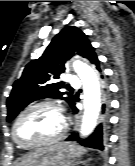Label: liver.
Wrapping results in <instances>:
<instances>
[{
	"label": "liver",
	"mask_w": 135,
	"mask_h": 166,
	"mask_svg": "<svg viewBox=\"0 0 135 166\" xmlns=\"http://www.w3.org/2000/svg\"><path fill=\"white\" fill-rule=\"evenodd\" d=\"M26 161L21 162L18 166H24Z\"/></svg>",
	"instance_id": "6515ba94"
}]
</instances>
